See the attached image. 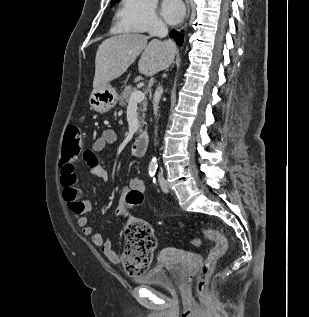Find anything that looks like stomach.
Returning <instances> with one entry per match:
<instances>
[{"mask_svg":"<svg viewBox=\"0 0 309 317\" xmlns=\"http://www.w3.org/2000/svg\"><path fill=\"white\" fill-rule=\"evenodd\" d=\"M118 102V94L110 85L105 84L94 89L89 98V104L93 110L99 113H105L115 107Z\"/></svg>","mask_w":309,"mask_h":317,"instance_id":"1","label":"stomach"}]
</instances>
